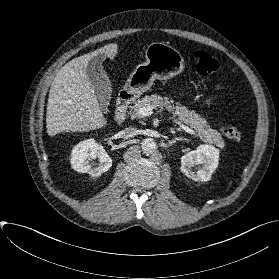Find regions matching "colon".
<instances>
[{"instance_id": "colon-1", "label": "colon", "mask_w": 279, "mask_h": 279, "mask_svg": "<svg viewBox=\"0 0 279 279\" xmlns=\"http://www.w3.org/2000/svg\"><path fill=\"white\" fill-rule=\"evenodd\" d=\"M194 70L201 76H206L216 72L219 69L218 60L210 53L204 50H197L193 54ZM223 134L236 142L242 139L241 132L234 126L225 125L222 127Z\"/></svg>"}]
</instances>
